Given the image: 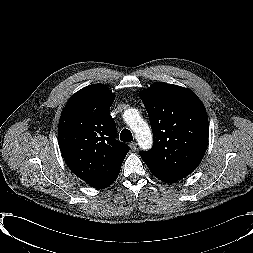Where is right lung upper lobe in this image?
Returning a JSON list of instances; mask_svg holds the SVG:
<instances>
[{
  "mask_svg": "<svg viewBox=\"0 0 253 253\" xmlns=\"http://www.w3.org/2000/svg\"><path fill=\"white\" fill-rule=\"evenodd\" d=\"M115 95L103 84L76 92L63 109L58 126L62 156L69 169L97 189L112 184L129 147L117 141L109 109Z\"/></svg>",
  "mask_w": 253,
  "mask_h": 253,
  "instance_id": "cb5924a9",
  "label": "right lung upper lobe"
}]
</instances>
